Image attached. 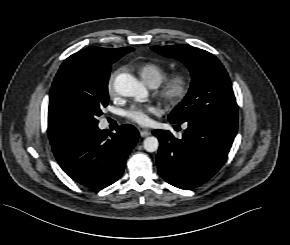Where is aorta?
<instances>
[{"label":"aorta","instance_id":"obj_1","mask_svg":"<svg viewBox=\"0 0 290 245\" xmlns=\"http://www.w3.org/2000/svg\"><path fill=\"white\" fill-rule=\"evenodd\" d=\"M115 90L118 94L127 97H135L136 99L146 98L148 95L144 84L138 81L130 74H120L114 82ZM144 149L147 152H155L158 150L159 141L156 137L150 136L144 140Z\"/></svg>","mask_w":290,"mask_h":245}]
</instances>
